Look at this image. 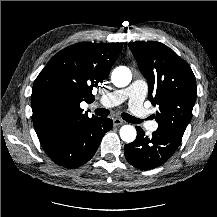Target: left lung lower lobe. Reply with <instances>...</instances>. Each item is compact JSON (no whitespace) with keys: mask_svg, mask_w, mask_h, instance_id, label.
<instances>
[{"mask_svg":"<svg viewBox=\"0 0 217 217\" xmlns=\"http://www.w3.org/2000/svg\"><path fill=\"white\" fill-rule=\"evenodd\" d=\"M136 129L137 138L124 146V153L127 161L141 170L153 169L166 162L182 140V137L163 128H158L150 138L145 136L141 127Z\"/></svg>","mask_w":217,"mask_h":217,"instance_id":"1","label":"left lung lower lobe"}]
</instances>
